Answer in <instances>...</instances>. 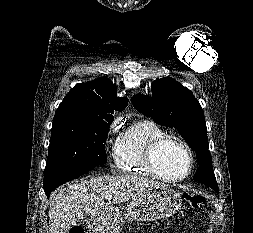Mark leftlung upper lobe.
<instances>
[{"label":"left lung upper lobe","instance_id":"5c2ea615","mask_svg":"<svg viewBox=\"0 0 253 233\" xmlns=\"http://www.w3.org/2000/svg\"><path fill=\"white\" fill-rule=\"evenodd\" d=\"M152 97H132L134 108L162 126L175 128L196 152L199 168L193 179L218 187L212 169L204 112L193 93L170 77L155 80Z\"/></svg>","mask_w":253,"mask_h":233}]
</instances>
